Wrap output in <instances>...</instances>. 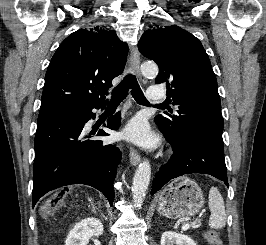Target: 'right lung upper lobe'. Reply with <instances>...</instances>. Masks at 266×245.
Instances as JSON below:
<instances>
[{"instance_id": "1", "label": "right lung upper lobe", "mask_w": 266, "mask_h": 245, "mask_svg": "<svg viewBox=\"0 0 266 245\" xmlns=\"http://www.w3.org/2000/svg\"><path fill=\"white\" fill-rule=\"evenodd\" d=\"M127 54V44L109 29H79L69 35L48 66L38 122L104 102L112 79L124 70Z\"/></svg>"}]
</instances>
